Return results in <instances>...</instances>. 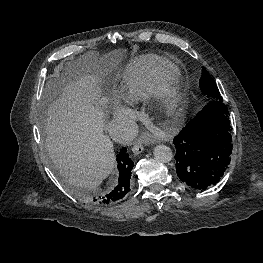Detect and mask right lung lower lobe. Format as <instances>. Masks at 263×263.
<instances>
[{
  "label": "right lung lower lobe",
  "instance_id": "1",
  "mask_svg": "<svg viewBox=\"0 0 263 263\" xmlns=\"http://www.w3.org/2000/svg\"><path fill=\"white\" fill-rule=\"evenodd\" d=\"M117 163L119 169V184L112 192L94 198L93 201L100 204L109 205L121 200L130 191V177L133 168V161L129 158L126 148H122L117 155Z\"/></svg>",
  "mask_w": 263,
  "mask_h": 263
}]
</instances>
